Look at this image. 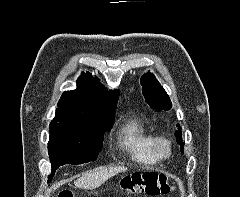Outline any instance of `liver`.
I'll list each match as a JSON object with an SVG mask.
<instances>
[{"label":"liver","mask_w":240,"mask_h":197,"mask_svg":"<svg viewBox=\"0 0 240 197\" xmlns=\"http://www.w3.org/2000/svg\"><path fill=\"white\" fill-rule=\"evenodd\" d=\"M126 170L125 167H111L100 169L97 172H87L78 178L74 184L80 189L93 190L101 186L110 177Z\"/></svg>","instance_id":"obj_1"}]
</instances>
